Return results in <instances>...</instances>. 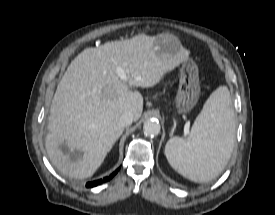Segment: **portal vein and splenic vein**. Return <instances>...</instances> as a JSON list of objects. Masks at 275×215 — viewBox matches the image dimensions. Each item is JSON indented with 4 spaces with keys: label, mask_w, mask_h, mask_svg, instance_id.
Masks as SVG:
<instances>
[{
    "label": "portal vein and splenic vein",
    "mask_w": 275,
    "mask_h": 215,
    "mask_svg": "<svg viewBox=\"0 0 275 215\" xmlns=\"http://www.w3.org/2000/svg\"><path fill=\"white\" fill-rule=\"evenodd\" d=\"M116 72L122 80H126L127 76H126V74H125V72L122 68L117 67ZM184 133H185V135L189 134V127L188 126H185Z\"/></svg>",
    "instance_id": "portal-vein-and-splenic-vein-1"
}]
</instances>
